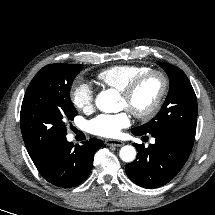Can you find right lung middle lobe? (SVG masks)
<instances>
[{
	"instance_id": "obj_1",
	"label": "right lung middle lobe",
	"mask_w": 215,
	"mask_h": 215,
	"mask_svg": "<svg viewBox=\"0 0 215 215\" xmlns=\"http://www.w3.org/2000/svg\"><path fill=\"white\" fill-rule=\"evenodd\" d=\"M82 65L51 64L29 84L23 98L20 124L30 156L44 153L66 138L67 120L77 111L70 99L73 80Z\"/></svg>"
}]
</instances>
